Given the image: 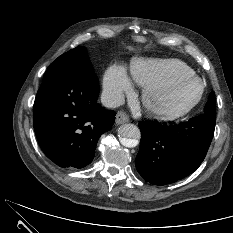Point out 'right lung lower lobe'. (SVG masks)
Segmentation results:
<instances>
[{"instance_id": "obj_1", "label": "right lung lower lobe", "mask_w": 233, "mask_h": 233, "mask_svg": "<svg viewBox=\"0 0 233 233\" xmlns=\"http://www.w3.org/2000/svg\"><path fill=\"white\" fill-rule=\"evenodd\" d=\"M98 94L92 67L46 71L34 102V130L43 152L58 166L91 163L99 137L111 129L115 112L96 102Z\"/></svg>"}]
</instances>
